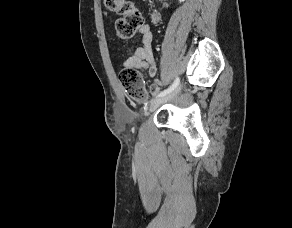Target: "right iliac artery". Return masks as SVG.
<instances>
[{
  "mask_svg": "<svg viewBox=\"0 0 292 228\" xmlns=\"http://www.w3.org/2000/svg\"><path fill=\"white\" fill-rule=\"evenodd\" d=\"M178 84H179V78L177 77L175 79L174 83L170 87L165 89L164 91L160 92L157 97H163V96L169 94L170 92H172L178 86Z\"/></svg>",
  "mask_w": 292,
  "mask_h": 228,
  "instance_id": "right-iliac-artery-1",
  "label": "right iliac artery"
}]
</instances>
